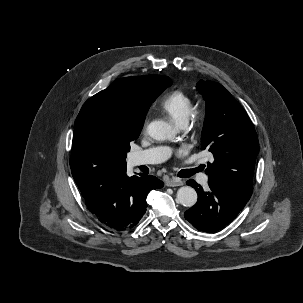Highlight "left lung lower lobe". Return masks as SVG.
<instances>
[{"label": "left lung lower lobe", "mask_w": 303, "mask_h": 303, "mask_svg": "<svg viewBox=\"0 0 303 303\" xmlns=\"http://www.w3.org/2000/svg\"><path fill=\"white\" fill-rule=\"evenodd\" d=\"M195 188L198 202L184 213L185 219L197 230L215 232L228 225L243 209L250 198L229 185L209 178V191H203L194 180L186 182Z\"/></svg>", "instance_id": "left-lung-lower-lobe-1"}]
</instances>
